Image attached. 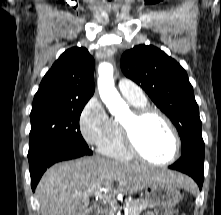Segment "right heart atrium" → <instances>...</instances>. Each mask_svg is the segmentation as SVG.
<instances>
[{
  "label": "right heart atrium",
  "instance_id": "obj_1",
  "mask_svg": "<svg viewBox=\"0 0 221 215\" xmlns=\"http://www.w3.org/2000/svg\"><path fill=\"white\" fill-rule=\"evenodd\" d=\"M111 118L97 97L90 98L79 117V129L89 145L99 146L108 136Z\"/></svg>",
  "mask_w": 221,
  "mask_h": 215
}]
</instances>
